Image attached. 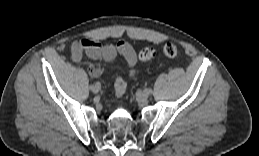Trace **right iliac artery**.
<instances>
[{
	"label": "right iliac artery",
	"mask_w": 259,
	"mask_h": 156,
	"mask_svg": "<svg viewBox=\"0 0 259 156\" xmlns=\"http://www.w3.org/2000/svg\"><path fill=\"white\" fill-rule=\"evenodd\" d=\"M94 88V85H92V84H89L88 85V90H91V89H93Z\"/></svg>",
	"instance_id": "right-iliac-artery-1"
}]
</instances>
